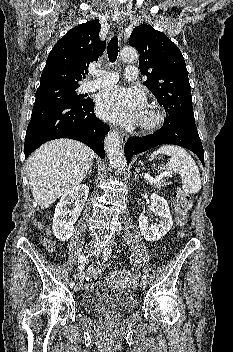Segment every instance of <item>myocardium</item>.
I'll return each mask as SVG.
<instances>
[{
	"label": "myocardium",
	"instance_id": "f54148a6",
	"mask_svg": "<svg viewBox=\"0 0 233 352\" xmlns=\"http://www.w3.org/2000/svg\"><path fill=\"white\" fill-rule=\"evenodd\" d=\"M164 112L156 103H149L146 106L145 114L141 119V126L145 130H152L162 124Z\"/></svg>",
	"mask_w": 233,
	"mask_h": 352
}]
</instances>
